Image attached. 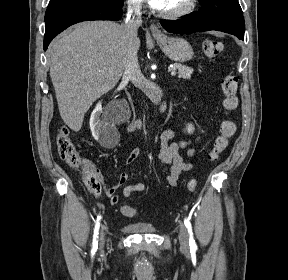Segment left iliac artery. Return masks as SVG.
I'll use <instances>...</instances> for the list:
<instances>
[{
	"label": "left iliac artery",
	"instance_id": "left-iliac-artery-1",
	"mask_svg": "<svg viewBox=\"0 0 288 280\" xmlns=\"http://www.w3.org/2000/svg\"><path fill=\"white\" fill-rule=\"evenodd\" d=\"M184 224L188 230L189 233V245H190V249L191 251H195L197 250V245L195 243L194 237H193V231H192V225L189 221V218H185L184 219Z\"/></svg>",
	"mask_w": 288,
	"mask_h": 280
}]
</instances>
